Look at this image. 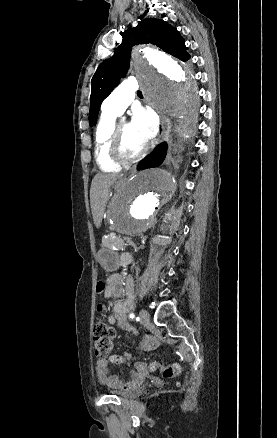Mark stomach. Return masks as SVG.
Listing matches in <instances>:
<instances>
[{
  "mask_svg": "<svg viewBox=\"0 0 277 438\" xmlns=\"http://www.w3.org/2000/svg\"><path fill=\"white\" fill-rule=\"evenodd\" d=\"M97 260L106 271H114L118 267V254L112 249H101L98 252Z\"/></svg>",
  "mask_w": 277,
  "mask_h": 438,
  "instance_id": "1",
  "label": "stomach"
}]
</instances>
